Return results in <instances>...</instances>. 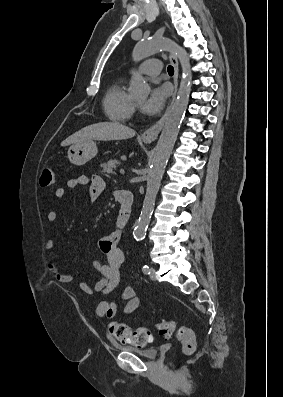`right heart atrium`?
<instances>
[{"label":"right heart atrium","instance_id":"right-heart-atrium-1","mask_svg":"<svg viewBox=\"0 0 283 397\" xmlns=\"http://www.w3.org/2000/svg\"><path fill=\"white\" fill-rule=\"evenodd\" d=\"M134 111V109H133V107H132V111H131V113Z\"/></svg>","mask_w":283,"mask_h":397}]
</instances>
